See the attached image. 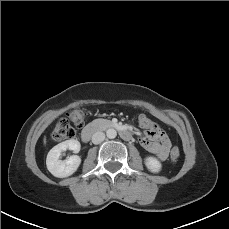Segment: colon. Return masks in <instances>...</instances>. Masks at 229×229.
<instances>
[{
  "mask_svg": "<svg viewBox=\"0 0 229 229\" xmlns=\"http://www.w3.org/2000/svg\"><path fill=\"white\" fill-rule=\"evenodd\" d=\"M68 117L75 125L80 126L83 124L85 114L81 108H75L68 113ZM74 136L75 130L70 122L67 119H60L55 124L51 138L55 142H61L72 139ZM170 158L172 162H177L179 160L180 150L177 147L172 149Z\"/></svg>",
  "mask_w": 229,
  "mask_h": 229,
  "instance_id": "colon-1",
  "label": "colon"
}]
</instances>
